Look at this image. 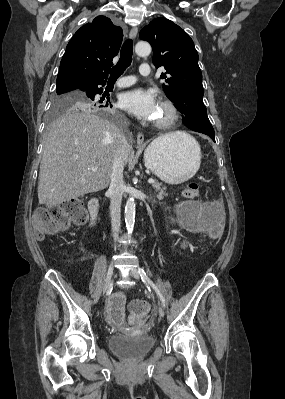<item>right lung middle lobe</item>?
I'll return each instance as SVG.
<instances>
[{
  "label": "right lung middle lobe",
  "mask_w": 285,
  "mask_h": 399,
  "mask_svg": "<svg viewBox=\"0 0 285 399\" xmlns=\"http://www.w3.org/2000/svg\"><path fill=\"white\" fill-rule=\"evenodd\" d=\"M56 92L50 121L58 114L74 108L102 109L104 107L98 103L96 95L83 92L79 89L57 88Z\"/></svg>",
  "instance_id": "1"
}]
</instances>
